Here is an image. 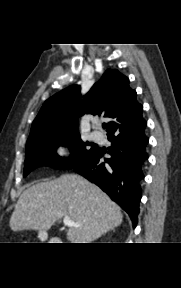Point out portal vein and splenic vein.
I'll use <instances>...</instances> for the list:
<instances>
[{
  "instance_id": "1",
  "label": "portal vein and splenic vein",
  "mask_w": 181,
  "mask_h": 288,
  "mask_svg": "<svg viewBox=\"0 0 181 288\" xmlns=\"http://www.w3.org/2000/svg\"><path fill=\"white\" fill-rule=\"evenodd\" d=\"M63 223H64V225H66V226H68V227H79L80 226V224H76V223H74L70 218H68V217H64V219H63Z\"/></svg>"
}]
</instances>
